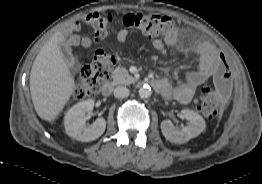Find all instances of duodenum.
Listing matches in <instances>:
<instances>
[{
	"instance_id": "1",
	"label": "duodenum",
	"mask_w": 262,
	"mask_h": 184,
	"mask_svg": "<svg viewBox=\"0 0 262 184\" xmlns=\"http://www.w3.org/2000/svg\"><path fill=\"white\" fill-rule=\"evenodd\" d=\"M144 83H147L154 89H157L159 87V82L158 80H155V79H149L145 81ZM113 88H114V83L112 81H108L104 83L101 89L103 95L109 96L112 93Z\"/></svg>"
}]
</instances>
